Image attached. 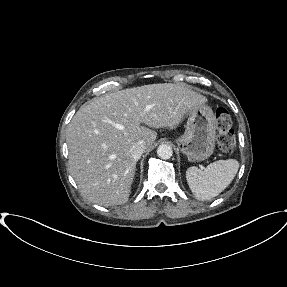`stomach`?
I'll use <instances>...</instances> for the list:
<instances>
[{"mask_svg": "<svg viewBox=\"0 0 287 287\" xmlns=\"http://www.w3.org/2000/svg\"><path fill=\"white\" fill-rule=\"evenodd\" d=\"M216 128L213 110L206 104L197 106L189 112L186 130L176 143L188 160H206L214 152Z\"/></svg>", "mask_w": 287, "mask_h": 287, "instance_id": "1", "label": "stomach"}]
</instances>
